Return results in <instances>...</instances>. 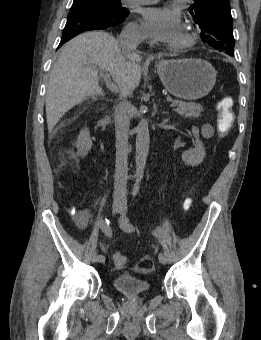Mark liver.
Listing matches in <instances>:
<instances>
[{
    "label": "liver",
    "instance_id": "liver-1",
    "mask_svg": "<svg viewBox=\"0 0 261 340\" xmlns=\"http://www.w3.org/2000/svg\"><path fill=\"white\" fill-rule=\"evenodd\" d=\"M141 61L139 54L123 51L118 40L106 32H86L70 40L52 69L47 87L48 131L75 105L104 95L98 69L109 72L120 89L133 91L140 83Z\"/></svg>",
    "mask_w": 261,
    "mask_h": 340
}]
</instances>
